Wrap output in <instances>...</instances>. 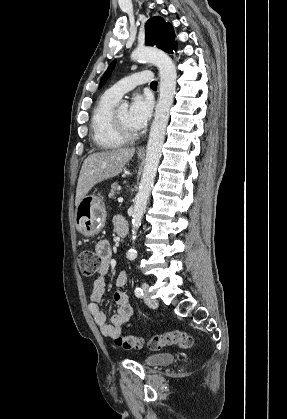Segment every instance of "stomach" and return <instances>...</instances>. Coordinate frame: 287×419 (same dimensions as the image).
<instances>
[{
	"instance_id": "0dacf381",
	"label": "stomach",
	"mask_w": 287,
	"mask_h": 419,
	"mask_svg": "<svg viewBox=\"0 0 287 419\" xmlns=\"http://www.w3.org/2000/svg\"><path fill=\"white\" fill-rule=\"evenodd\" d=\"M106 209L102 198L96 195L85 196L75 210V224L79 232L92 237L97 235L104 227Z\"/></svg>"
}]
</instances>
